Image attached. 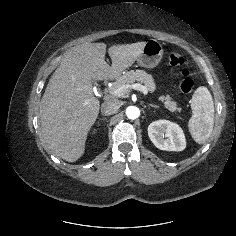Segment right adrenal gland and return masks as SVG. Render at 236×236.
<instances>
[{
    "label": "right adrenal gland",
    "mask_w": 236,
    "mask_h": 236,
    "mask_svg": "<svg viewBox=\"0 0 236 236\" xmlns=\"http://www.w3.org/2000/svg\"><path fill=\"white\" fill-rule=\"evenodd\" d=\"M102 118H103V120H107V118H106V117H104V116H103Z\"/></svg>",
    "instance_id": "1"
}]
</instances>
